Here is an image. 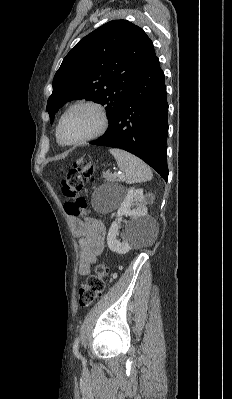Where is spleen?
Masks as SVG:
<instances>
[{
	"label": "spleen",
	"instance_id": "spleen-1",
	"mask_svg": "<svg viewBox=\"0 0 232 399\" xmlns=\"http://www.w3.org/2000/svg\"><path fill=\"white\" fill-rule=\"evenodd\" d=\"M110 154L114 156L118 168L121 172H124V180L126 184H137V182H149L152 180L153 174L142 160L132 156L129 152H124V150H109Z\"/></svg>",
	"mask_w": 232,
	"mask_h": 399
}]
</instances>
